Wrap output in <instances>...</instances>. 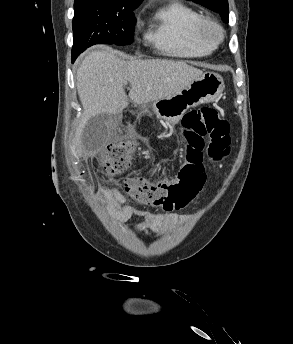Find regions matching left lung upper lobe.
I'll return each instance as SVG.
<instances>
[{"instance_id": "left-lung-upper-lobe-1", "label": "left lung upper lobe", "mask_w": 293, "mask_h": 344, "mask_svg": "<svg viewBox=\"0 0 293 344\" xmlns=\"http://www.w3.org/2000/svg\"><path fill=\"white\" fill-rule=\"evenodd\" d=\"M219 13L224 22H228L229 7L228 0H190Z\"/></svg>"}]
</instances>
